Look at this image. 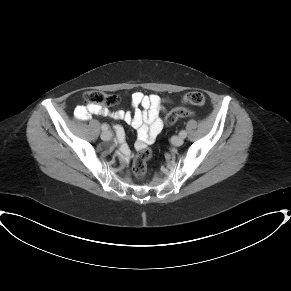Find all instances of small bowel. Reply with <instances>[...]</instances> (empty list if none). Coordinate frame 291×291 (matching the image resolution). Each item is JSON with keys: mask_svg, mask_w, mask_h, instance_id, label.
Masks as SVG:
<instances>
[{"mask_svg": "<svg viewBox=\"0 0 291 291\" xmlns=\"http://www.w3.org/2000/svg\"><path fill=\"white\" fill-rule=\"evenodd\" d=\"M131 104L134 108L133 112L124 110L104 109L100 107H88L78 105L75 108L74 114L78 119H87L91 115L108 116L115 120H122L137 130L139 140L135 147L142 149L152 143L155 137L162 130L163 122L160 118L161 112L164 111L162 99L154 94L144 95L142 92H134L131 95ZM118 134H122L121 127H116ZM121 158L128 161L133 152L128 145L121 140L120 142Z\"/></svg>", "mask_w": 291, "mask_h": 291, "instance_id": "obj_1", "label": "small bowel"}]
</instances>
